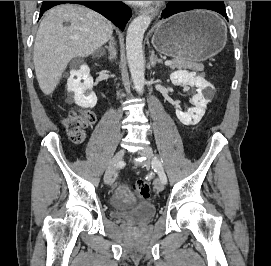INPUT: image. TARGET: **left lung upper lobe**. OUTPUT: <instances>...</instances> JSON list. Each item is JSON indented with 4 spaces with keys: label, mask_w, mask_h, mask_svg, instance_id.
<instances>
[{
    "label": "left lung upper lobe",
    "mask_w": 271,
    "mask_h": 266,
    "mask_svg": "<svg viewBox=\"0 0 271 266\" xmlns=\"http://www.w3.org/2000/svg\"><path fill=\"white\" fill-rule=\"evenodd\" d=\"M204 2L205 3H211V4H214L216 6H220V7L225 8V5H224L223 1H204Z\"/></svg>",
    "instance_id": "5c2ea615"
}]
</instances>
